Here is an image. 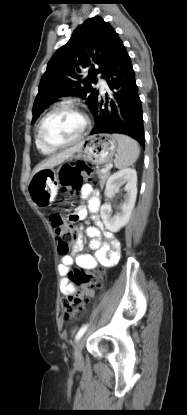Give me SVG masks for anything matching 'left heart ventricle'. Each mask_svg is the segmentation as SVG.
Returning a JSON list of instances; mask_svg holds the SVG:
<instances>
[{
	"instance_id": "b2bd125f",
	"label": "left heart ventricle",
	"mask_w": 187,
	"mask_h": 415,
	"mask_svg": "<svg viewBox=\"0 0 187 415\" xmlns=\"http://www.w3.org/2000/svg\"><path fill=\"white\" fill-rule=\"evenodd\" d=\"M84 121L73 109L63 108L52 113L43 126L44 138L54 144L73 140L78 136Z\"/></svg>"
}]
</instances>
